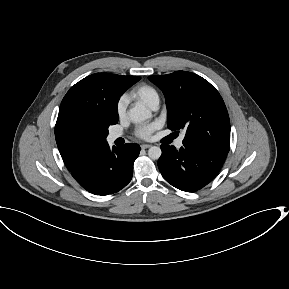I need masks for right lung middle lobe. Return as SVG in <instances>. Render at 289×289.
Listing matches in <instances>:
<instances>
[{
    "label": "right lung middle lobe",
    "instance_id": "obj_1",
    "mask_svg": "<svg viewBox=\"0 0 289 289\" xmlns=\"http://www.w3.org/2000/svg\"><path fill=\"white\" fill-rule=\"evenodd\" d=\"M121 95V94H120ZM119 95V96H120ZM119 96L116 98V101L112 107V113L110 116V120L103 124L102 126V138H106L108 135V127L110 125H114L118 122V112H117V102L119 100ZM84 139H90L89 136H85Z\"/></svg>",
    "mask_w": 289,
    "mask_h": 289
}]
</instances>
